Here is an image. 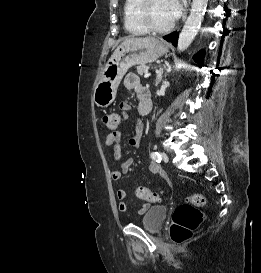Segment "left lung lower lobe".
Returning <instances> with one entry per match:
<instances>
[{
  "instance_id": "0a47b994",
  "label": "left lung lower lobe",
  "mask_w": 261,
  "mask_h": 273,
  "mask_svg": "<svg viewBox=\"0 0 261 273\" xmlns=\"http://www.w3.org/2000/svg\"><path fill=\"white\" fill-rule=\"evenodd\" d=\"M167 41H171L174 46L177 45L178 40V33L173 32L167 36L163 37ZM203 57H204V51H200L198 54L194 56V60L199 64L200 67L203 65Z\"/></svg>"
}]
</instances>
